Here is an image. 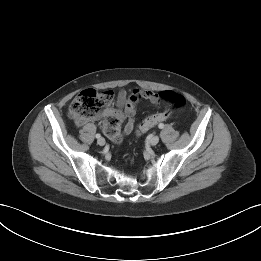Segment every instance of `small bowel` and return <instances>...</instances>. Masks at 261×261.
<instances>
[{"label":"small bowel","mask_w":261,"mask_h":261,"mask_svg":"<svg viewBox=\"0 0 261 261\" xmlns=\"http://www.w3.org/2000/svg\"><path fill=\"white\" fill-rule=\"evenodd\" d=\"M142 99L148 100L153 104H158L160 101L159 94L149 90L136 88L130 94L122 90L117 94L116 107L107 108L104 111V116L116 118L122 122L121 134L128 135L134 129L136 104Z\"/></svg>","instance_id":"c3829d8e"}]
</instances>
